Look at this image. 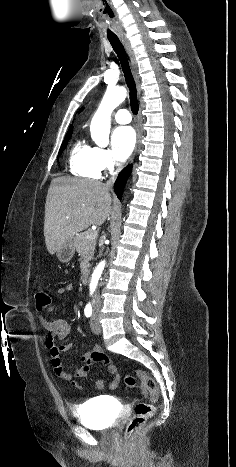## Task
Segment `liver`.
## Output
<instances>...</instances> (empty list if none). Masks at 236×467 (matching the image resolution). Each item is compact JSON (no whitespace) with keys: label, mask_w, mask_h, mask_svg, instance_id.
<instances>
[{"label":"liver","mask_w":236,"mask_h":467,"mask_svg":"<svg viewBox=\"0 0 236 467\" xmlns=\"http://www.w3.org/2000/svg\"><path fill=\"white\" fill-rule=\"evenodd\" d=\"M110 189L93 180L57 177L48 189L44 237L53 255L65 242L91 225L101 226L112 210Z\"/></svg>","instance_id":"liver-1"}]
</instances>
